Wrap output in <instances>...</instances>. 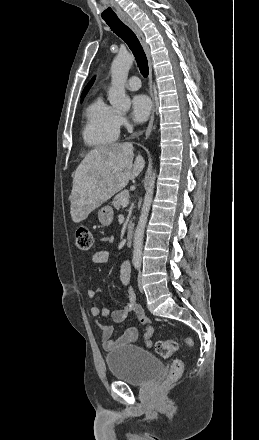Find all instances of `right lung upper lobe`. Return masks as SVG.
I'll list each match as a JSON object with an SVG mask.
<instances>
[{
	"mask_svg": "<svg viewBox=\"0 0 259 440\" xmlns=\"http://www.w3.org/2000/svg\"><path fill=\"white\" fill-rule=\"evenodd\" d=\"M95 80V77L92 78V80L88 83V85L85 87V89L82 92L81 98L83 99V97L86 95V93L88 92L89 88L91 87V85L93 84Z\"/></svg>",
	"mask_w": 259,
	"mask_h": 440,
	"instance_id": "1",
	"label": "right lung upper lobe"
}]
</instances>
